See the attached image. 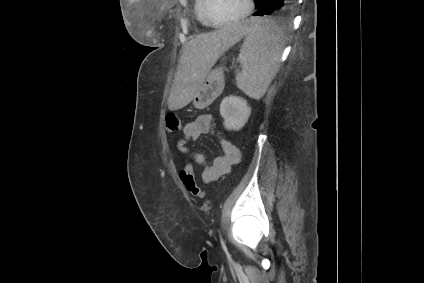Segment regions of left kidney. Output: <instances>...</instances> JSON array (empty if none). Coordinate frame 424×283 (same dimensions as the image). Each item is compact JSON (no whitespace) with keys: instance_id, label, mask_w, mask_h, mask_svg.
I'll use <instances>...</instances> for the list:
<instances>
[{"instance_id":"left-kidney-1","label":"left kidney","mask_w":424,"mask_h":283,"mask_svg":"<svg viewBox=\"0 0 424 283\" xmlns=\"http://www.w3.org/2000/svg\"><path fill=\"white\" fill-rule=\"evenodd\" d=\"M220 114L224 119V126L228 130H240L251 114L247 101L236 96L223 99L220 104Z\"/></svg>"}]
</instances>
